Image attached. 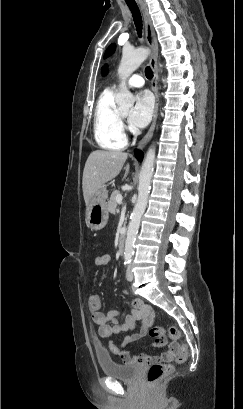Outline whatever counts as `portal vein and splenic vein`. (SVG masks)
Instances as JSON below:
<instances>
[{
	"instance_id": "18ae733b",
	"label": "portal vein and splenic vein",
	"mask_w": 243,
	"mask_h": 409,
	"mask_svg": "<svg viewBox=\"0 0 243 409\" xmlns=\"http://www.w3.org/2000/svg\"><path fill=\"white\" fill-rule=\"evenodd\" d=\"M122 200H123L122 195H118L116 198L117 203L122 204Z\"/></svg>"
}]
</instances>
